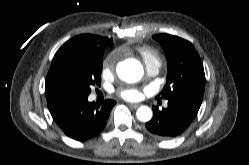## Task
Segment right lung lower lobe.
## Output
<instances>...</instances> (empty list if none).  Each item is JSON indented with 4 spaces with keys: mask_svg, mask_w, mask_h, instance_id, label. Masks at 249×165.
Wrapping results in <instances>:
<instances>
[{
    "mask_svg": "<svg viewBox=\"0 0 249 165\" xmlns=\"http://www.w3.org/2000/svg\"><path fill=\"white\" fill-rule=\"evenodd\" d=\"M88 96L56 95L47 98L49 111L63 132L72 139L85 141L98 135L107 123L114 100L101 105L88 102Z\"/></svg>",
    "mask_w": 249,
    "mask_h": 165,
    "instance_id": "98d812e1",
    "label": "right lung lower lobe"
}]
</instances>
